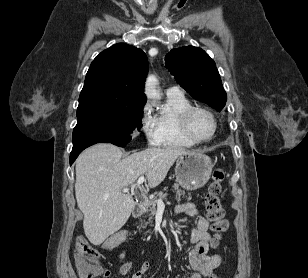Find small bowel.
<instances>
[{
  "instance_id": "small-bowel-1",
  "label": "small bowel",
  "mask_w": 308,
  "mask_h": 278,
  "mask_svg": "<svg viewBox=\"0 0 308 278\" xmlns=\"http://www.w3.org/2000/svg\"><path fill=\"white\" fill-rule=\"evenodd\" d=\"M177 212L185 216L194 217L196 219L195 226L190 232V241L194 247L188 253V261L192 269L190 278H206L209 276L222 262L221 254L209 255V244L211 234L209 232L210 224L208 218L201 215L194 204H182L177 208ZM113 249L110 247L108 250ZM119 260L122 263L119 273L120 277H125L131 269V261L127 251L119 254ZM150 263L145 261L142 266L133 274L132 278H143L149 270ZM102 278H108L110 271L103 267L100 275Z\"/></svg>"
}]
</instances>
